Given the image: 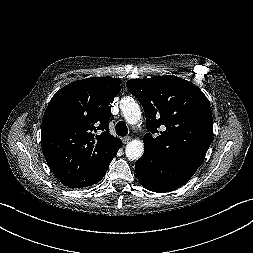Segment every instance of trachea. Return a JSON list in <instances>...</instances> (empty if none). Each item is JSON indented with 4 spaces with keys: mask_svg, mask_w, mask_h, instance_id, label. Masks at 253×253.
Returning <instances> with one entry per match:
<instances>
[{
    "mask_svg": "<svg viewBox=\"0 0 253 253\" xmlns=\"http://www.w3.org/2000/svg\"><path fill=\"white\" fill-rule=\"evenodd\" d=\"M116 134L119 136H126L128 134V128L123 121H119L115 127Z\"/></svg>",
    "mask_w": 253,
    "mask_h": 253,
    "instance_id": "1",
    "label": "trachea"
}]
</instances>
